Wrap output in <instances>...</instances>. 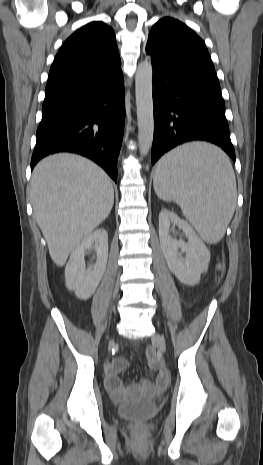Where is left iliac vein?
Wrapping results in <instances>:
<instances>
[{
  "label": "left iliac vein",
  "instance_id": "left-iliac-vein-1",
  "mask_svg": "<svg viewBox=\"0 0 263 465\" xmlns=\"http://www.w3.org/2000/svg\"><path fill=\"white\" fill-rule=\"evenodd\" d=\"M152 339V342L154 344L157 345V347L162 351V352H166V343H165V339L162 335H160L159 333H155L152 335L151 337Z\"/></svg>",
  "mask_w": 263,
  "mask_h": 465
}]
</instances>
